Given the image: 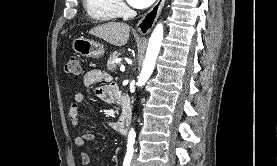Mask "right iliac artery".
<instances>
[{"instance_id":"obj_1","label":"right iliac artery","mask_w":277,"mask_h":166,"mask_svg":"<svg viewBox=\"0 0 277 166\" xmlns=\"http://www.w3.org/2000/svg\"><path fill=\"white\" fill-rule=\"evenodd\" d=\"M132 154H127L124 158L123 166H130Z\"/></svg>"}]
</instances>
